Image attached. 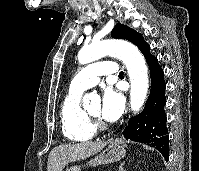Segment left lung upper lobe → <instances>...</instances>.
I'll return each instance as SVG.
<instances>
[{
	"label": "left lung upper lobe",
	"instance_id": "left-lung-upper-lobe-1",
	"mask_svg": "<svg viewBox=\"0 0 199 171\" xmlns=\"http://www.w3.org/2000/svg\"><path fill=\"white\" fill-rule=\"evenodd\" d=\"M111 35L113 38L126 39L136 44L139 49H141L146 44V42L143 41L141 34L123 24H117L112 30Z\"/></svg>",
	"mask_w": 199,
	"mask_h": 171
}]
</instances>
